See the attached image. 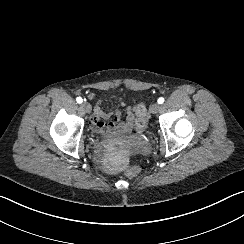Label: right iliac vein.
Segmentation results:
<instances>
[{"instance_id": "63e3f726", "label": "right iliac vein", "mask_w": 244, "mask_h": 244, "mask_svg": "<svg viewBox=\"0 0 244 244\" xmlns=\"http://www.w3.org/2000/svg\"><path fill=\"white\" fill-rule=\"evenodd\" d=\"M81 109L84 110L87 113H90L92 111L91 105L89 103H87V102H83L81 104Z\"/></svg>"}]
</instances>
